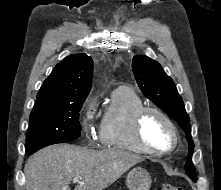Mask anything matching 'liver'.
I'll return each instance as SVG.
<instances>
[{"label": "liver", "instance_id": "liver-1", "mask_svg": "<svg viewBox=\"0 0 221 190\" xmlns=\"http://www.w3.org/2000/svg\"><path fill=\"white\" fill-rule=\"evenodd\" d=\"M143 160L123 149L97 151L70 144L52 145L25 164L26 190H71L74 177L82 180L74 190H104Z\"/></svg>", "mask_w": 221, "mask_h": 190}]
</instances>
